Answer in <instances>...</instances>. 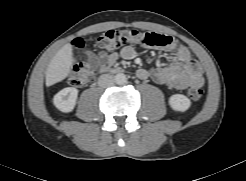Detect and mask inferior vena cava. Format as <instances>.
Listing matches in <instances>:
<instances>
[{"label": "inferior vena cava", "mask_w": 246, "mask_h": 181, "mask_svg": "<svg viewBox=\"0 0 246 181\" xmlns=\"http://www.w3.org/2000/svg\"><path fill=\"white\" fill-rule=\"evenodd\" d=\"M115 83V79L112 75L103 74L98 79V85L102 88L112 87Z\"/></svg>", "instance_id": "inferior-vena-cava-1"}]
</instances>
